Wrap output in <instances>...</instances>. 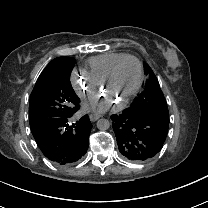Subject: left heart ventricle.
I'll return each mask as SVG.
<instances>
[{"mask_svg":"<svg viewBox=\"0 0 208 208\" xmlns=\"http://www.w3.org/2000/svg\"><path fill=\"white\" fill-rule=\"evenodd\" d=\"M139 79V69L135 61L124 60L117 68L113 80L106 85L104 100L118 101L125 98L136 86Z\"/></svg>","mask_w":208,"mask_h":208,"instance_id":"obj_1","label":"left heart ventricle"}]
</instances>
